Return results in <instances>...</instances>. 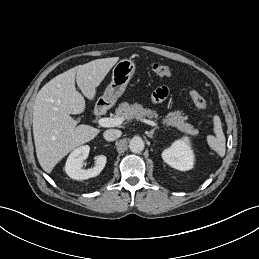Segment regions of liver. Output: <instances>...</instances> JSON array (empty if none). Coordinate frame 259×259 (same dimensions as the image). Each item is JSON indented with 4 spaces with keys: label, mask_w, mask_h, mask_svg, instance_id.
<instances>
[{
    "label": "liver",
    "mask_w": 259,
    "mask_h": 259,
    "mask_svg": "<svg viewBox=\"0 0 259 259\" xmlns=\"http://www.w3.org/2000/svg\"><path fill=\"white\" fill-rule=\"evenodd\" d=\"M118 57L96 59L57 75L38 92L33 107V135L38 161L47 173L70 151L94 139L100 129L81 124L70 114L85 110Z\"/></svg>",
    "instance_id": "liver-1"
}]
</instances>
